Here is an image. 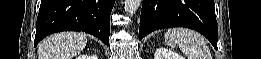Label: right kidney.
<instances>
[{"instance_id":"ca27d5eb","label":"right kidney","mask_w":261,"mask_h":59,"mask_svg":"<svg viewBox=\"0 0 261 59\" xmlns=\"http://www.w3.org/2000/svg\"><path fill=\"white\" fill-rule=\"evenodd\" d=\"M77 59H97L96 56H87V55H82V56H78Z\"/></svg>"}]
</instances>
